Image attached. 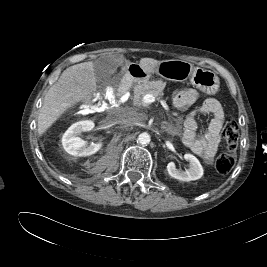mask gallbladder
Here are the masks:
<instances>
[{
  "label": "gallbladder",
  "mask_w": 267,
  "mask_h": 267,
  "mask_svg": "<svg viewBox=\"0 0 267 267\" xmlns=\"http://www.w3.org/2000/svg\"><path fill=\"white\" fill-rule=\"evenodd\" d=\"M116 60H120L119 57H101L95 63V70L98 80L101 81L102 76L110 74L116 66ZM108 83H105L107 85Z\"/></svg>",
  "instance_id": "obj_1"
}]
</instances>
